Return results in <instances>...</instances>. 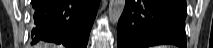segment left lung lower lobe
<instances>
[{"label":"left lung lower lobe","mask_w":213,"mask_h":48,"mask_svg":"<svg viewBox=\"0 0 213 48\" xmlns=\"http://www.w3.org/2000/svg\"><path fill=\"white\" fill-rule=\"evenodd\" d=\"M186 0H126L117 48L174 44L186 48Z\"/></svg>","instance_id":"1"}]
</instances>
